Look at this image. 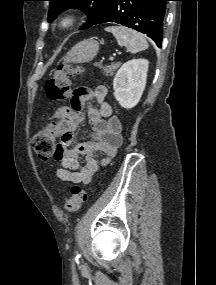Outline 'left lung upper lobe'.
<instances>
[{"label":"left lung upper lobe","instance_id":"obj_1","mask_svg":"<svg viewBox=\"0 0 216 285\" xmlns=\"http://www.w3.org/2000/svg\"><path fill=\"white\" fill-rule=\"evenodd\" d=\"M50 1L48 21H53L65 9L78 8L86 12L87 23L81 28L86 29L94 25L105 13L112 0H48Z\"/></svg>","mask_w":216,"mask_h":285}]
</instances>
